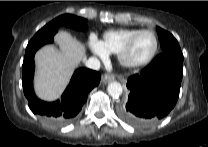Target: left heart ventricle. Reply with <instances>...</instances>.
<instances>
[{
    "label": "left heart ventricle",
    "mask_w": 208,
    "mask_h": 147,
    "mask_svg": "<svg viewBox=\"0 0 208 147\" xmlns=\"http://www.w3.org/2000/svg\"><path fill=\"white\" fill-rule=\"evenodd\" d=\"M155 40L151 34H142L133 44L128 58L133 62H140L147 59L153 52Z\"/></svg>",
    "instance_id": "1"
}]
</instances>
